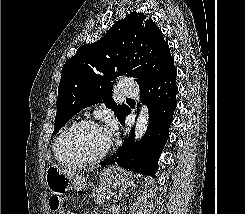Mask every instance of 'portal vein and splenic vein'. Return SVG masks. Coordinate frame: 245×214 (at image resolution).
<instances>
[{
    "mask_svg": "<svg viewBox=\"0 0 245 214\" xmlns=\"http://www.w3.org/2000/svg\"><path fill=\"white\" fill-rule=\"evenodd\" d=\"M106 198H107V199H111V196H110V195H106Z\"/></svg>",
    "mask_w": 245,
    "mask_h": 214,
    "instance_id": "1",
    "label": "portal vein and splenic vein"
}]
</instances>
